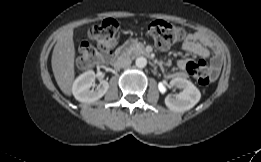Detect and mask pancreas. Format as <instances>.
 <instances>
[{
  "mask_svg": "<svg viewBox=\"0 0 261 162\" xmlns=\"http://www.w3.org/2000/svg\"><path fill=\"white\" fill-rule=\"evenodd\" d=\"M138 46H140V44L135 41V42L132 43L131 48H132L133 50H135Z\"/></svg>",
  "mask_w": 261,
  "mask_h": 162,
  "instance_id": "pancreas-1",
  "label": "pancreas"
}]
</instances>
